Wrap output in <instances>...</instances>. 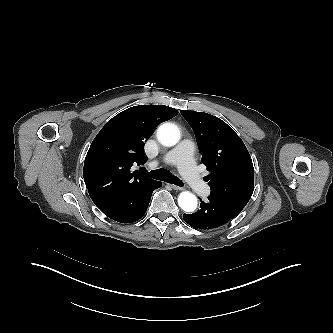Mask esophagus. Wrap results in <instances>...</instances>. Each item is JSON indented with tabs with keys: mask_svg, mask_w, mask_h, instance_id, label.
<instances>
[{
	"mask_svg": "<svg viewBox=\"0 0 333 333\" xmlns=\"http://www.w3.org/2000/svg\"><path fill=\"white\" fill-rule=\"evenodd\" d=\"M169 186L174 190H183V187H180V186H177V185H174V184H169Z\"/></svg>",
	"mask_w": 333,
	"mask_h": 333,
	"instance_id": "obj_1",
	"label": "esophagus"
}]
</instances>
